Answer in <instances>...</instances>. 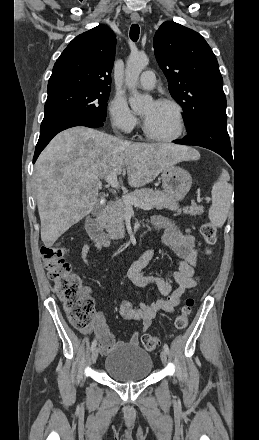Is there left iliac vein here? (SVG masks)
Listing matches in <instances>:
<instances>
[{
	"label": "left iliac vein",
	"instance_id": "left-iliac-vein-1",
	"mask_svg": "<svg viewBox=\"0 0 259 440\" xmlns=\"http://www.w3.org/2000/svg\"><path fill=\"white\" fill-rule=\"evenodd\" d=\"M160 357H161V361H162V363H163L164 365H166V363H167V353H166L165 350H162V351H161Z\"/></svg>",
	"mask_w": 259,
	"mask_h": 440
}]
</instances>
